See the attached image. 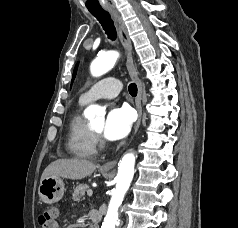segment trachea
<instances>
[{
  "label": "trachea",
  "mask_w": 238,
  "mask_h": 228,
  "mask_svg": "<svg viewBox=\"0 0 238 228\" xmlns=\"http://www.w3.org/2000/svg\"><path fill=\"white\" fill-rule=\"evenodd\" d=\"M90 13L100 22L103 29L105 30V33L108 35V38L115 40L117 36L116 29L113 20L110 17V14L103 9L90 11ZM128 90L131 96L137 95V86L135 83H131L128 87Z\"/></svg>",
  "instance_id": "obj_1"
}]
</instances>
